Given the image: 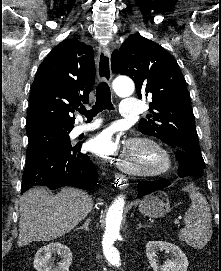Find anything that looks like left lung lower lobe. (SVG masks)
<instances>
[{
	"label": "left lung lower lobe",
	"mask_w": 221,
	"mask_h": 271,
	"mask_svg": "<svg viewBox=\"0 0 221 271\" xmlns=\"http://www.w3.org/2000/svg\"><path fill=\"white\" fill-rule=\"evenodd\" d=\"M176 153L179 162L178 175L180 177L194 176L199 178L202 176L205 166H201L195 158L179 148H176ZM170 184L171 182L167 179L140 182L138 185V196H145L156 190L166 188Z\"/></svg>",
	"instance_id": "left-lung-lower-lobe-1"
}]
</instances>
